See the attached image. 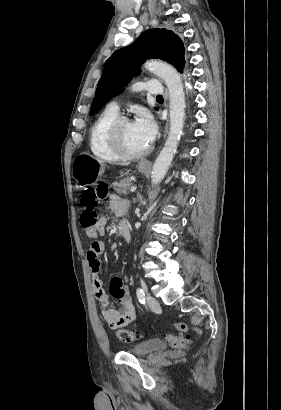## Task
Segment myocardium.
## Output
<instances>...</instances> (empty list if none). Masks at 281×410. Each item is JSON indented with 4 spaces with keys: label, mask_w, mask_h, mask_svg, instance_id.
Here are the masks:
<instances>
[{
    "label": "myocardium",
    "mask_w": 281,
    "mask_h": 410,
    "mask_svg": "<svg viewBox=\"0 0 281 410\" xmlns=\"http://www.w3.org/2000/svg\"><path fill=\"white\" fill-rule=\"evenodd\" d=\"M130 121L127 116H118L108 130V141L113 150L125 159H136L145 156L151 150L150 146L140 151H131L123 143L120 137V126L122 123Z\"/></svg>",
    "instance_id": "myocardium-1"
}]
</instances>
